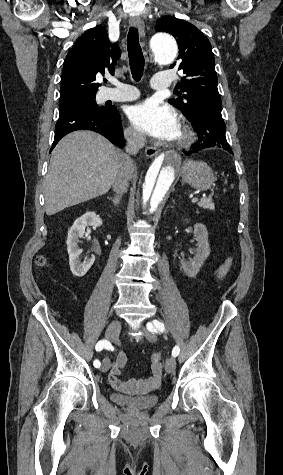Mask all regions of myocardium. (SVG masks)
I'll return each instance as SVG.
<instances>
[{"mask_svg":"<svg viewBox=\"0 0 283 475\" xmlns=\"http://www.w3.org/2000/svg\"><path fill=\"white\" fill-rule=\"evenodd\" d=\"M193 139V131L187 124L186 120L181 117L180 119V133L178 136L177 146L179 148H186Z\"/></svg>","mask_w":283,"mask_h":475,"instance_id":"1","label":"myocardium"}]
</instances>
